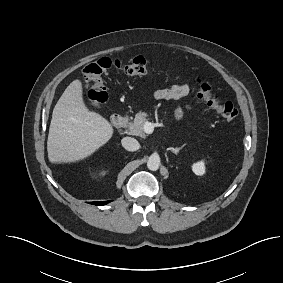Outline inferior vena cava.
<instances>
[{"label": "inferior vena cava", "instance_id": "inferior-vena-cava-1", "mask_svg": "<svg viewBox=\"0 0 283 283\" xmlns=\"http://www.w3.org/2000/svg\"><path fill=\"white\" fill-rule=\"evenodd\" d=\"M121 144L128 151H136L140 148L139 142L132 137H124Z\"/></svg>", "mask_w": 283, "mask_h": 283}]
</instances>
